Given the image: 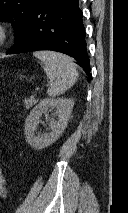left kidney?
<instances>
[{
    "label": "left kidney",
    "mask_w": 128,
    "mask_h": 213,
    "mask_svg": "<svg viewBox=\"0 0 128 213\" xmlns=\"http://www.w3.org/2000/svg\"><path fill=\"white\" fill-rule=\"evenodd\" d=\"M74 106L73 99L68 98H46L32 109L25 120L24 132L26 142L34 149L41 150L53 144L67 127L70 114ZM56 108L58 120L52 119L49 123L50 132L36 135L35 130L39 124L40 117L48 108Z\"/></svg>",
    "instance_id": "left-kidney-1"
}]
</instances>
